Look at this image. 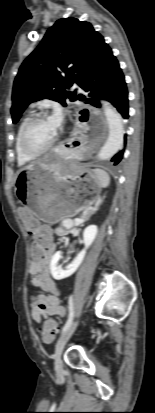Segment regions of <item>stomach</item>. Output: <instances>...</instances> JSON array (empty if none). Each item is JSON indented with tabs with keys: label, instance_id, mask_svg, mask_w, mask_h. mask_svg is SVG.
<instances>
[{
	"label": "stomach",
	"instance_id": "0dacf381",
	"mask_svg": "<svg viewBox=\"0 0 155 413\" xmlns=\"http://www.w3.org/2000/svg\"><path fill=\"white\" fill-rule=\"evenodd\" d=\"M101 188L94 171L64 168L54 156L20 169L15 183L19 202L50 224L90 209L98 203Z\"/></svg>",
	"mask_w": 155,
	"mask_h": 413
}]
</instances>
